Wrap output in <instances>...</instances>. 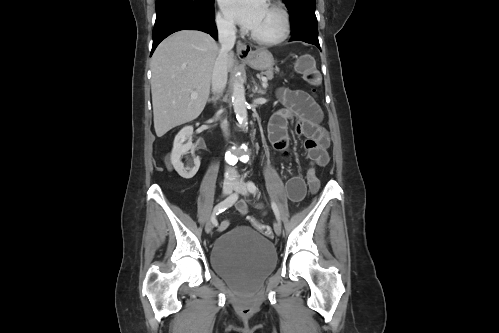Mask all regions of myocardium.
Here are the masks:
<instances>
[{
    "instance_id": "f54148a6",
    "label": "myocardium",
    "mask_w": 499,
    "mask_h": 333,
    "mask_svg": "<svg viewBox=\"0 0 499 333\" xmlns=\"http://www.w3.org/2000/svg\"><path fill=\"white\" fill-rule=\"evenodd\" d=\"M268 6L271 7L272 9L278 11L282 17L283 27H282V31H281L280 35L276 38H273V39L261 38V37L257 36L256 34H254L252 31H250L249 35H250L251 39L258 44L265 45V46H273V45H277V44L282 43L283 41H285L288 38L290 31H291V19H290V15H289L287 9L282 4H279L276 2H271L268 4Z\"/></svg>"
}]
</instances>
